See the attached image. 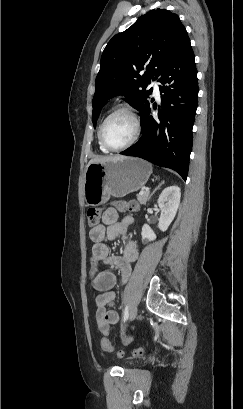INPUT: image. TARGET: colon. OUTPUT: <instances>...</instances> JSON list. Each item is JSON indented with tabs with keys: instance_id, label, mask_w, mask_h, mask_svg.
<instances>
[{
	"instance_id": "1",
	"label": "colon",
	"mask_w": 243,
	"mask_h": 409,
	"mask_svg": "<svg viewBox=\"0 0 243 409\" xmlns=\"http://www.w3.org/2000/svg\"><path fill=\"white\" fill-rule=\"evenodd\" d=\"M120 212H136L138 210V203L134 200L130 201H117L114 204ZM102 209L100 207H91L87 210V225L93 228L99 224L101 218ZM101 348L106 352H112L113 348L106 337L101 339ZM145 353L144 349L137 348L133 351L134 357H141ZM122 356V353H119Z\"/></svg>"
}]
</instances>
